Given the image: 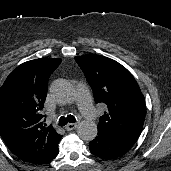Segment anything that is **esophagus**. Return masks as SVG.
<instances>
[{"mask_svg": "<svg viewBox=\"0 0 171 171\" xmlns=\"http://www.w3.org/2000/svg\"><path fill=\"white\" fill-rule=\"evenodd\" d=\"M77 126H78L77 123H68V124L65 126V129H66L67 131H71V130L75 129Z\"/></svg>", "mask_w": 171, "mask_h": 171, "instance_id": "34e87169", "label": "esophagus"}]
</instances>
